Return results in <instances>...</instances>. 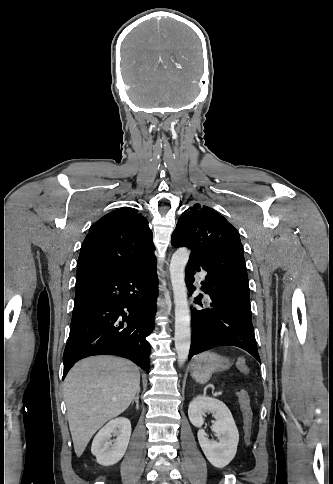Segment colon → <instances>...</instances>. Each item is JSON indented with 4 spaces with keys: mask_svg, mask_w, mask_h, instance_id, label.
<instances>
[{
    "mask_svg": "<svg viewBox=\"0 0 333 484\" xmlns=\"http://www.w3.org/2000/svg\"><path fill=\"white\" fill-rule=\"evenodd\" d=\"M237 366L242 373H249V366L244 359L240 358L237 361ZM236 395L244 417L245 442L247 445H249L252 433V410L250 406L249 396L248 393L243 389L237 390Z\"/></svg>",
    "mask_w": 333,
    "mask_h": 484,
    "instance_id": "colon-1",
    "label": "colon"
}]
</instances>
